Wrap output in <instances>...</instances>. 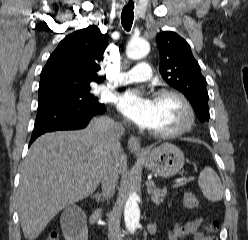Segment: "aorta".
<instances>
[{
  "mask_svg": "<svg viewBox=\"0 0 248 240\" xmlns=\"http://www.w3.org/2000/svg\"><path fill=\"white\" fill-rule=\"evenodd\" d=\"M150 51V45L143 39L131 40L126 47V55L132 60L145 57ZM139 197L136 193H130L124 208L125 225L129 232L134 233L139 226L140 209L138 206Z\"/></svg>",
  "mask_w": 248,
  "mask_h": 240,
  "instance_id": "aorta-1",
  "label": "aorta"
}]
</instances>
